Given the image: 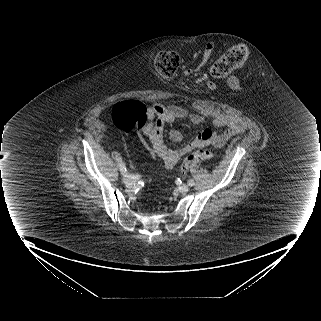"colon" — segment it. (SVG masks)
Returning <instances> with one entry per match:
<instances>
[{
	"label": "colon",
	"mask_w": 321,
	"mask_h": 321,
	"mask_svg": "<svg viewBox=\"0 0 321 321\" xmlns=\"http://www.w3.org/2000/svg\"><path fill=\"white\" fill-rule=\"evenodd\" d=\"M248 57V49L244 45H236L229 49L210 68V75L219 79L228 76L237 68L241 67ZM152 62L155 71L163 78H172L180 66V56L167 49L158 50L152 55ZM148 119L146 106L137 100H126L117 104L113 110V122L123 131L142 129ZM211 132L205 133L199 139L200 147L210 145ZM212 153L204 148H200L184 159L180 166L181 172H186L191 163L199 160H210Z\"/></svg>",
	"instance_id": "colon-1"
}]
</instances>
